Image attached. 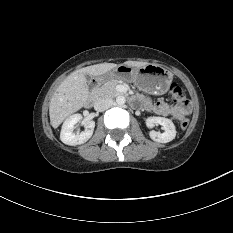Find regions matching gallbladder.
Listing matches in <instances>:
<instances>
[{
  "mask_svg": "<svg viewBox=\"0 0 233 233\" xmlns=\"http://www.w3.org/2000/svg\"><path fill=\"white\" fill-rule=\"evenodd\" d=\"M86 79H87V81H88V83H89L90 80H91V76H90V75H86Z\"/></svg>",
  "mask_w": 233,
  "mask_h": 233,
  "instance_id": "1",
  "label": "gallbladder"
}]
</instances>
